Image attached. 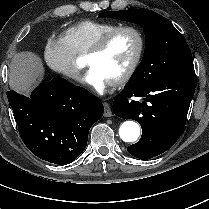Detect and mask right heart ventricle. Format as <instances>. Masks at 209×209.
<instances>
[{
	"instance_id": "1",
	"label": "right heart ventricle",
	"mask_w": 209,
	"mask_h": 209,
	"mask_svg": "<svg viewBox=\"0 0 209 209\" xmlns=\"http://www.w3.org/2000/svg\"><path fill=\"white\" fill-rule=\"evenodd\" d=\"M116 26L119 24L110 21L83 20L65 28L63 36L75 54L85 55L106 32Z\"/></svg>"
}]
</instances>
